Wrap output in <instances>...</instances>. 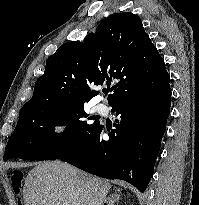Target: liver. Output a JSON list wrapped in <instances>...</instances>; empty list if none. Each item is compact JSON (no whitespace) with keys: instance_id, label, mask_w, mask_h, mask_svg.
Returning a JSON list of instances; mask_svg holds the SVG:
<instances>
[{"instance_id":"6515ba94","label":"liver","mask_w":199,"mask_h":205,"mask_svg":"<svg viewBox=\"0 0 199 205\" xmlns=\"http://www.w3.org/2000/svg\"><path fill=\"white\" fill-rule=\"evenodd\" d=\"M110 188L108 181L69 164L39 162L26 177L23 198L25 205H103Z\"/></svg>"}]
</instances>
